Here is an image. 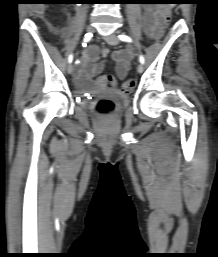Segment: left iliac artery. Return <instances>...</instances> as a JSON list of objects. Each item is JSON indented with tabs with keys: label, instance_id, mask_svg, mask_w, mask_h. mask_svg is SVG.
Returning <instances> with one entry per match:
<instances>
[{
	"label": "left iliac artery",
	"instance_id": "obj_1",
	"mask_svg": "<svg viewBox=\"0 0 218 257\" xmlns=\"http://www.w3.org/2000/svg\"><path fill=\"white\" fill-rule=\"evenodd\" d=\"M118 38L121 41L132 42V39L129 36L125 35V34L118 35ZM139 60H140L141 64H144L145 59H144L143 55L140 54Z\"/></svg>",
	"mask_w": 218,
	"mask_h": 257
}]
</instances>
